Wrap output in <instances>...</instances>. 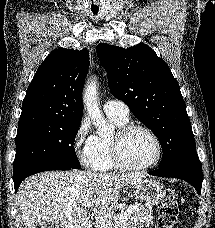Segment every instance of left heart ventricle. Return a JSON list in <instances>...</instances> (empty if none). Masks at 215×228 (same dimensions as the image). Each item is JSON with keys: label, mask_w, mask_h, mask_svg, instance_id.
<instances>
[{"label": "left heart ventricle", "mask_w": 215, "mask_h": 228, "mask_svg": "<svg viewBox=\"0 0 215 228\" xmlns=\"http://www.w3.org/2000/svg\"><path fill=\"white\" fill-rule=\"evenodd\" d=\"M121 151L128 164L138 166L154 157L155 146L148 133L141 129H134L124 139Z\"/></svg>", "instance_id": "left-heart-ventricle-1"}]
</instances>
